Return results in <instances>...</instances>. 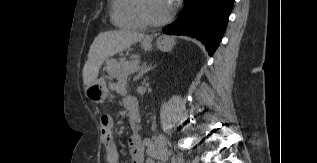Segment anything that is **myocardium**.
<instances>
[{"mask_svg":"<svg viewBox=\"0 0 317 163\" xmlns=\"http://www.w3.org/2000/svg\"><path fill=\"white\" fill-rule=\"evenodd\" d=\"M137 11H138L140 19L147 26H152V27H160L167 24L168 22H170V20L172 19L174 15V10L171 9L170 13L165 18L161 20L152 19L146 10L145 0H137Z\"/></svg>","mask_w":317,"mask_h":163,"instance_id":"1","label":"myocardium"}]
</instances>
